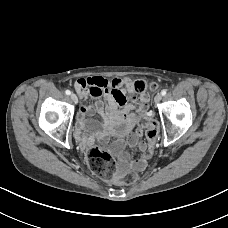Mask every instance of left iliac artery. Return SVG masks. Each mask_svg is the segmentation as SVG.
Here are the masks:
<instances>
[{"label":"left iliac artery","mask_w":228,"mask_h":228,"mask_svg":"<svg viewBox=\"0 0 228 228\" xmlns=\"http://www.w3.org/2000/svg\"><path fill=\"white\" fill-rule=\"evenodd\" d=\"M166 93H167V91L165 89L161 91L162 96H165Z\"/></svg>","instance_id":"left-iliac-artery-1"}]
</instances>
